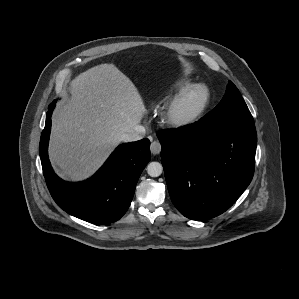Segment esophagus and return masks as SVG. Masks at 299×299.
<instances>
[{"mask_svg": "<svg viewBox=\"0 0 299 299\" xmlns=\"http://www.w3.org/2000/svg\"><path fill=\"white\" fill-rule=\"evenodd\" d=\"M150 150H151V153L154 154V155H157L160 153L161 151V144L159 141H153L150 145Z\"/></svg>", "mask_w": 299, "mask_h": 299, "instance_id": "esophagus-1", "label": "esophagus"}]
</instances>
